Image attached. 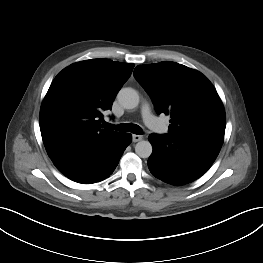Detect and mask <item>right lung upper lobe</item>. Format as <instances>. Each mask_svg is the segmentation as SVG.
<instances>
[{
	"instance_id": "cb5924a9",
	"label": "right lung upper lobe",
	"mask_w": 263,
	"mask_h": 263,
	"mask_svg": "<svg viewBox=\"0 0 263 263\" xmlns=\"http://www.w3.org/2000/svg\"><path fill=\"white\" fill-rule=\"evenodd\" d=\"M133 64L109 59L74 63L53 80L40 110V130L53 161L98 147L120 135L105 129L102 112L130 77Z\"/></svg>"
}]
</instances>
